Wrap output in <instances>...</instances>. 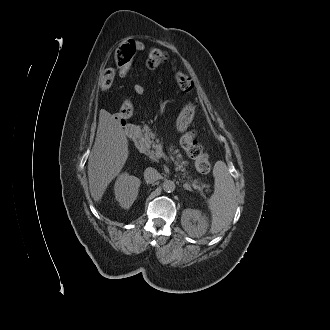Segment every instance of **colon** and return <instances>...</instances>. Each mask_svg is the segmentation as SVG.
Masks as SVG:
<instances>
[{"label":"colon","mask_w":330,"mask_h":330,"mask_svg":"<svg viewBox=\"0 0 330 330\" xmlns=\"http://www.w3.org/2000/svg\"><path fill=\"white\" fill-rule=\"evenodd\" d=\"M136 52L135 44L133 41H127L116 49L114 59L118 66H125L133 61ZM167 60V53L157 47H151L146 54V65L150 69H155L165 63ZM114 71L110 68L105 69L101 74L100 87L103 90H108L114 80ZM174 78L178 87L184 92H190L193 89L192 80L179 70L174 71ZM127 109L128 114L131 116L133 106L130 99H126L123 104ZM118 118L122 120V118ZM128 119V118H127ZM181 144L186 154L193 160L195 167L200 173H208L211 169V162L209 155L205 152L201 143L196 139V133L189 131L183 135Z\"/></svg>","instance_id":"obj_1"}]
</instances>
